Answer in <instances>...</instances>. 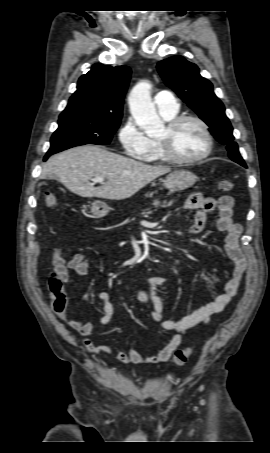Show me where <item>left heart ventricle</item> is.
<instances>
[{"label":"left heart ventricle","instance_id":"b2bd125f","mask_svg":"<svg viewBox=\"0 0 270 453\" xmlns=\"http://www.w3.org/2000/svg\"><path fill=\"white\" fill-rule=\"evenodd\" d=\"M167 135L165 128L159 139ZM174 153L182 158H193L200 155L206 148V139L201 127L195 122H185L171 136Z\"/></svg>","mask_w":270,"mask_h":453}]
</instances>
